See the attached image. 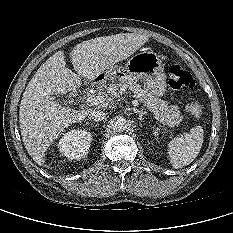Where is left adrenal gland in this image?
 Returning a JSON list of instances; mask_svg holds the SVG:
<instances>
[{
  "label": "left adrenal gland",
  "instance_id": "1",
  "mask_svg": "<svg viewBox=\"0 0 233 233\" xmlns=\"http://www.w3.org/2000/svg\"><path fill=\"white\" fill-rule=\"evenodd\" d=\"M132 111H134V113H138L139 114V120L142 121L143 120V115L145 114V112L142 109H137L135 107L131 108Z\"/></svg>",
  "mask_w": 233,
  "mask_h": 233
}]
</instances>
